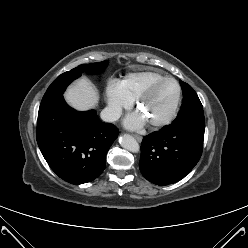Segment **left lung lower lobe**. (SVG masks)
I'll list each match as a JSON object with an SVG mask.
<instances>
[{"label":"left lung lower lobe","instance_id":"left-lung-lower-lobe-1","mask_svg":"<svg viewBox=\"0 0 248 248\" xmlns=\"http://www.w3.org/2000/svg\"><path fill=\"white\" fill-rule=\"evenodd\" d=\"M204 114L176 118L170 125L144 137L139 168L157 185H168L184 178L197 164L204 140Z\"/></svg>","mask_w":248,"mask_h":248}]
</instances>
